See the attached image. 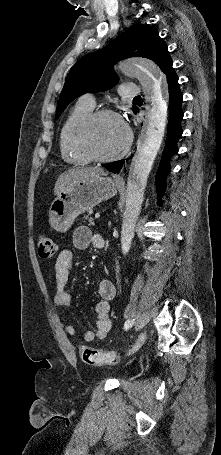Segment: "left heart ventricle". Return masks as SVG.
<instances>
[{"label":"left heart ventricle","mask_w":221,"mask_h":455,"mask_svg":"<svg viewBox=\"0 0 221 455\" xmlns=\"http://www.w3.org/2000/svg\"><path fill=\"white\" fill-rule=\"evenodd\" d=\"M126 141V131L123 124L116 118L104 117L93 127L91 146L102 156L110 155L120 150Z\"/></svg>","instance_id":"1"}]
</instances>
